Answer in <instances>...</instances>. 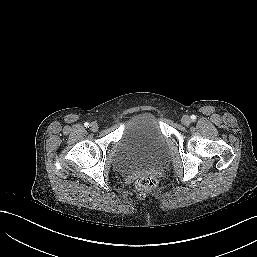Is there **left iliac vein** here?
I'll list each match as a JSON object with an SVG mask.
<instances>
[{"mask_svg": "<svg viewBox=\"0 0 257 257\" xmlns=\"http://www.w3.org/2000/svg\"><path fill=\"white\" fill-rule=\"evenodd\" d=\"M181 122L182 124L184 125H189L191 123V118L188 116V115H184L182 118H181Z\"/></svg>", "mask_w": 257, "mask_h": 257, "instance_id": "4c4485c4", "label": "left iliac vein"}]
</instances>
